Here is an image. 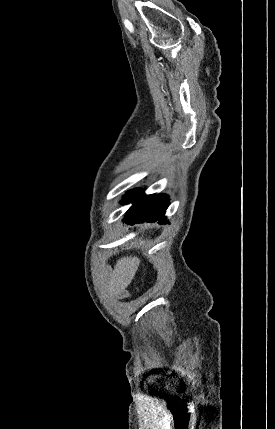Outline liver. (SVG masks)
<instances>
[{
	"mask_svg": "<svg viewBox=\"0 0 275 429\" xmlns=\"http://www.w3.org/2000/svg\"><path fill=\"white\" fill-rule=\"evenodd\" d=\"M139 258L127 256L119 259L114 267V270L110 273V286L116 292H122L132 281L138 266Z\"/></svg>",
	"mask_w": 275,
	"mask_h": 429,
	"instance_id": "liver-1",
	"label": "liver"
}]
</instances>
